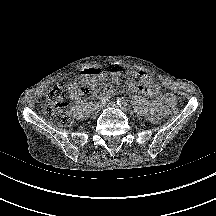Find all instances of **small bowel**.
<instances>
[{"label": "small bowel", "mask_w": 216, "mask_h": 216, "mask_svg": "<svg viewBox=\"0 0 216 216\" xmlns=\"http://www.w3.org/2000/svg\"><path fill=\"white\" fill-rule=\"evenodd\" d=\"M137 76L139 77V81L136 80ZM127 77V84L132 91L154 98L150 111V119L152 121H159L163 117L166 109L172 103L174 96L169 93L162 94L159 85L147 74L141 73L137 75L135 72L130 71L127 73ZM115 81L120 83L122 79L116 77ZM94 92V89L90 88L79 89L75 97L91 95Z\"/></svg>", "instance_id": "c3829d8e"}]
</instances>
